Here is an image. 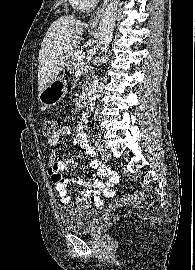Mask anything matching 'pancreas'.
Segmentation results:
<instances>
[{"label":"pancreas","mask_w":195,"mask_h":270,"mask_svg":"<svg viewBox=\"0 0 195 270\" xmlns=\"http://www.w3.org/2000/svg\"><path fill=\"white\" fill-rule=\"evenodd\" d=\"M74 54H75V52L71 53V55H70V57H69V59L67 61V65H66L67 70L70 71V72H74L75 69L77 68V64L80 63V62L75 60Z\"/></svg>","instance_id":"pancreas-1"}]
</instances>
